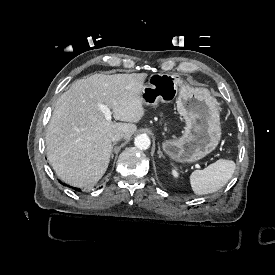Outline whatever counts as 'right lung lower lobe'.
Returning a JSON list of instances; mask_svg holds the SVG:
<instances>
[{"label":"right lung lower lobe","instance_id":"obj_1","mask_svg":"<svg viewBox=\"0 0 275 275\" xmlns=\"http://www.w3.org/2000/svg\"><path fill=\"white\" fill-rule=\"evenodd\" d=\"M75 190L80 191V189L75 188Z\"/></svg>","mask_w":275,"mask_h":275}]
</instances>
